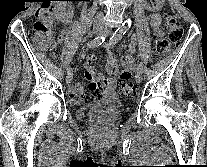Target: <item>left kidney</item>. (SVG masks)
<instances>
[{
	"label": "left kidney",
	"instance_id": "5707ae66",
	"mask_svg": "<svg viewBox=\"0 0 207 167\" xmlns=\"http://www.w3.org/2000/svg\"><path fill=\"white\" fill-rule=\"evenodd\" d=\"M157 1H160V0H157ZM146 8L151 9L150 7H146Z\"/></svg>",
	"mask_w": 207,
	"mask_h": 167
}]
</instances>
